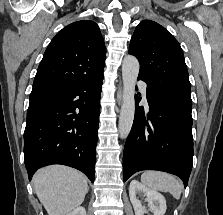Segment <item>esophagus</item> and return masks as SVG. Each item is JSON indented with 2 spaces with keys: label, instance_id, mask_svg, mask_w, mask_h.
Returning <instances> with one entry per match:
<instances>
[{
  "label": "esophagus",
  "instance_id": "esophagus-1",
  "mask_svg": "<svg viewBox=\"0 0 223 215\" xmlns=\"http://www.w3.org/2000/svg\"><path fill=\"white\" fill-rule=\"evenodd\" d=\"M117 100L120 105L122 103V85H119V87H118Z\"/></svg>",
  "mask_w": 223,
  "mask_h": 215
}]
</instances>
